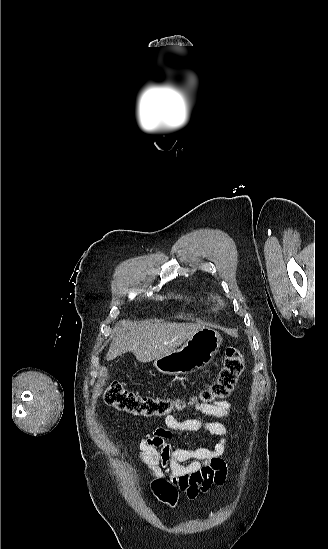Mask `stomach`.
Here are the masks:
<instances>
[{
  "instance_id": "1",
  "label": "stomach",
  "mask_w": 328,
  "mask_h": 549,
  "mask_svg": "<svg viewBox=\"0 0 328 549\" xmlns=\"http://www.w3.org/2000/svg\"><path fill=\"white\" fill-rule=\"evenodd\" d=\"M222 343L221 335L212 327H202L181 349L155 359L154 365L164 375H189L207 367L216 357Z\"/></svg>"
}]
</instances>
